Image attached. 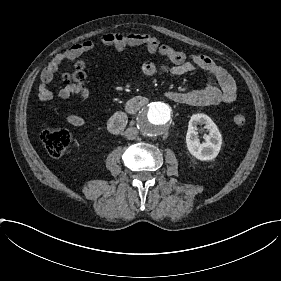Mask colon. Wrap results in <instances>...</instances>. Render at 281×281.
I'll use <instances>...</instances> for the list:
<instances>
[{"label":"colon","mask_w":281,"mask_h":281,"mask_svg":"<svg viewBox=\"0 0 281 281\" xmlns=\"http://www.w3.org/2000/svg\"><path fill=\"white\" fill-rule=\"evenodd\" d=\"M91 47L92 43H88ZM70 91V89H67ZM247 123V117L243 113H235L232 116V124L235 127H244ZM41 139L46 147L47 153L52 158L60 157L66 147L70 144L71 137L69 131L64 127L47 128L41 134Z\"/></svg>","instance_id":"obj_1"}]
</instances>
